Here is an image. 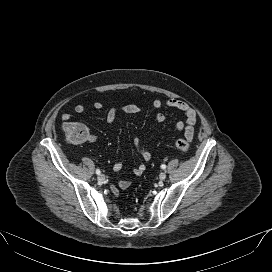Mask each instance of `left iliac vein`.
<instances>
[{
    "label": "left iliac vein",
    "instance_id": "left-iliac-vein-1",
    "mask_svg": "<svg viewBox=\"0 0 272 272\" xmlns=\"http://www.w3.org/2000/svg\"><path fill=\"white\" fill-rule=\"evenodd\" d=\"M165 178H166V173H164V172L160 173L159 179L160 180H165Z\"/></svg>",
    "mask_w": 272,
    "mask_h": 272
}]
</instances>
